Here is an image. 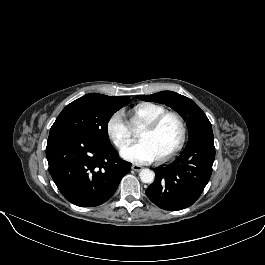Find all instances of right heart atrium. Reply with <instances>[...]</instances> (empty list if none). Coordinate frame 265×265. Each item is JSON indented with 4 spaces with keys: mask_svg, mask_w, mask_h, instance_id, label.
<instances>
[{
    "mask_svg": "<svg viewBox=\"0 0 265 265\" xmlns=\"http://www.w3.org/2000/svg\"><path fill=\"white\" fill-rule=\"evenodd\" d=\"M106 131L115 146L124 148L132 140V132L129 123L121 111L114 112L106 123Z\"/></svg>",
    "mask_w": 265,
    "mask_h": 265,
    "instance_id": "obj_1",
    "label": "right heart atrium"
}]
</instances>
